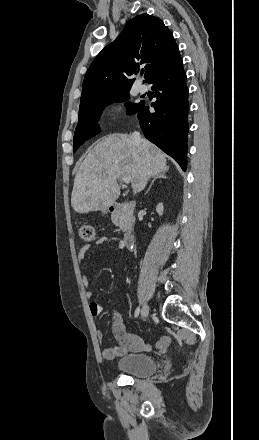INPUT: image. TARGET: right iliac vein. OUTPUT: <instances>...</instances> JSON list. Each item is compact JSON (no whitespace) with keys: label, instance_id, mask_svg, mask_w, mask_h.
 I'll return each mask as SVG.
<instances>
[{"label":"right iliac vein","instance_id":"63e3f726","mask_svg":"<svg viewBox=\"0 0 259 440\" xmlns=\"http://www.w3.org/2000/svg\"><path fill=\"white\" fill-rule=\"evenodd\" d=\"M150 307L148 304H145L141 311V318L146 319L149 314Z\"/></svg>","mask_w":259,"mask_h":440}]
</instances>
